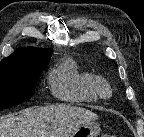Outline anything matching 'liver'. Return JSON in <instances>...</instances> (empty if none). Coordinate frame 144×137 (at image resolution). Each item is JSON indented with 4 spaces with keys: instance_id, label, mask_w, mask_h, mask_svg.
Masks as SVG:
<instances>
[{
    "instance_id": "obj_1",
    "label": "liver",
    "mask_w": 144,
    "mask_h": 137,
    "mask_svg": "<svg viewBox=\"0 0 144 137\" xmlns=\"http://www.w3.org/2000/svg\"><path fill=\"white\" fill-rule=\"evenodd\" d=\"M98 116L66 104L31 107L0 118V137H68Z\"/></svg>"
}]
</instances>
